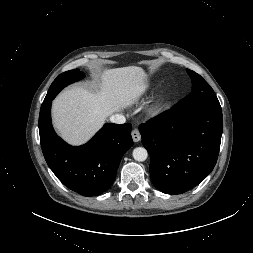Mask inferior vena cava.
Wrapping results in <instances>:
<instances>
[{
	"label": "inferior vena cava",
	"mask_w": 253,
	"mask_h": 253,
	"mask_svg": "<svg viewBox=\"0 0 253 253\" xmlns=\"http://www.w3.org/2000/svg\"><path fill=\"white\" fill-rule=\"evenodd\" d=\"M110 121L116 124H123L125 123L126 119L122 114L116 113L110 117Z\"/></svg>",
	"instance_id": "1"
}]
</instances>
